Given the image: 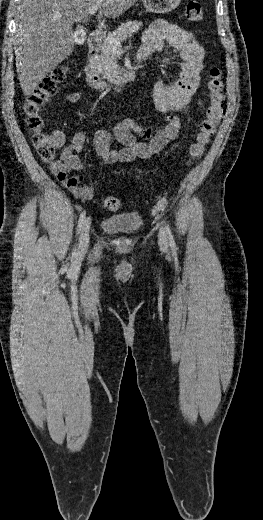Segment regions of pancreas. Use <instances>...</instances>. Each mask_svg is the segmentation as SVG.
Here are the masks:
<instances>
[{
    "mask_svg": "<svg viewBox=\"0 0 263 520\" xmlns=\"http://www.w3.org/2000/svg\"><path fill=\"white\" fill-rule=\"evenodd\" d=\"M142 25L140 21H126L121 23L115 31L102 38L100 44L101 53L92 59L91 64L103 79L116 83L122 78V70L117 64V58L112 46L109 44V40L122 42L136 33Z\"/></svg>",
    "mask_w": 263,
    "mask_h": 520,
    "instance_id": "1",
    "label": "pancreas"
}]
</instances>
